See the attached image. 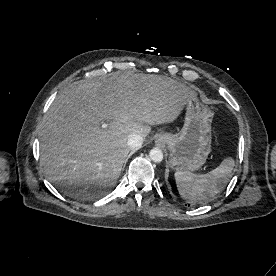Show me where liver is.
<instances>
[{
    "label": "liver",
    "instance_id": "6515ba94",
    "mask_svg": "<svg viewBox=\"0 0 276 276\" xmlns=\"http://www.w3.org/2000/svg\"><path fill=\"white\" fill-rule=\"evenodd\" d=\"M195 99L188 86L162 75L115 73L71 84L57 95L41 124L47 179L74 198L102 195L121 174L131 150L128 138L140 134L144 139L151 125L173 122Z\"/></svg>",
    "mask_w": 276,
    "mask_h": 276
}]
</instances>
